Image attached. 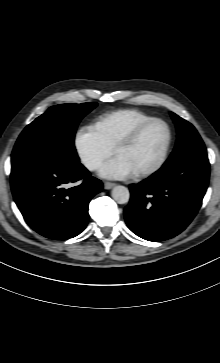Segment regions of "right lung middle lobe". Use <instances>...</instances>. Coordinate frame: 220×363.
Returning <instances> with one entry per match:
<instances>
[{
    "label": "right lung middle lobe",
    "instance_id": "obj_1",
    "mask_svg": "<svg viewBox=\"0 0 220 363\" xmlns=\"http://www.w3.org/2000/svg\"><path fill=\"white\" fill-rule=\"evenodd\" d=\"M97 103L60 104L50 107L20 134L11 156L12 169L33 159L49 158L79 164L74 137L80 120Z\"/></svg>",
    "mask_w": 220,
    "mask_h": 363
}]
</instances>
